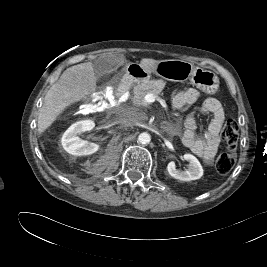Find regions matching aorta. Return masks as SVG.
I'll return each mask as SVG.
<instances>
[{
    "label": "aorta",
    "instance_id": "obj_1",
    "mask_svg": "<svg viewBox=\"0 0 267 267\" xmlns=\"http://www.w3.org/2000/svg\"><path fill=\"white\" fill-rule=\"evenodd\" d=\"M150 141H151V136L147 132H143V133L139 134V136H138V142L140 144L146 145V144H149Z\"/></svg>",
    "mask_w": 267,
    "mask_h": 267
}]
</instances>
